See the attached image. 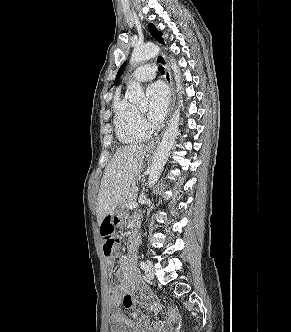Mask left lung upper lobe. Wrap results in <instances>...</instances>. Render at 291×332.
Listing matches in <instances>:
<instances>
[{"mask_svg":"<svg viewBox=\"0 0 291 332\" xmlns=\"http://www.w3.org/2000/svg\"><path fill=\"white\" fill-rule=\"evenodd\" d=\"M150 32L152 33V35L154 36V38L159 41L160 43H164L163 42V39H162V33L160 31H158L155 26L153 24H150L148 26ZM125 67V64H123L120 69L118 70V73H117V76H116V79H115V82L117 81V79L119 78V76L121 75L123 69Z\"/></svg>","mask_w":291,"mask_h":332,"instance_id":"left-lung-upper-lobe-1","label":"left lung upper lobe"}]
</instances>
